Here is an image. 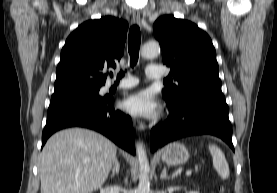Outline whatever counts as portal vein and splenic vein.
Listing matches in <instances>:
<instances>
[{
  "mask_svg": "<svg viewBox=\"0 0 277 193\" xmlns=\"http://www.w3.org/2000/svg\"><path fill=\"white\" fill-rule=\"evenodd\" d=\"M192 174V170H187L186 175L189 176Z\"/></svg>",
  "mask_w": 277,
  "mask_h": 193,
  "instance_id": "portal-vein-and-splenic-vein-1",
  "label": "portal vein and splenic vein"
}]
</instances>
